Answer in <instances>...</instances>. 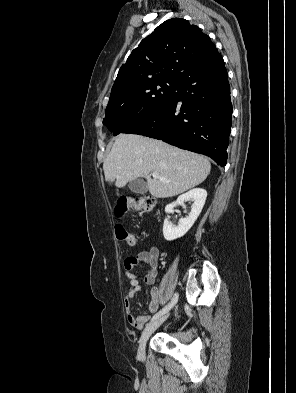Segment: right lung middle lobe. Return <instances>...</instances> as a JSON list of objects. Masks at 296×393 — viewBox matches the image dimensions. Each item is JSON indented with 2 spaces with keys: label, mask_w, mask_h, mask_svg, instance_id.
Here are the masks:
<instances>
[{
  "label": "right lung middle lobe",
  "mask_w": 296,
  "mask_h": 393,
  "mask_svg": "<svg viewBox=\"0 0 296 393\" xmlns=\"http://www.w3.org/2000/svg\"><path fill=\"white\" fill-rule=\"evenodd\" d=\"M176 83L175 81L158 82L131 99L109 102L103 123L113 132V135H118L169 99Z\"/></svg>",
  "instance_id": "dd1d6c3e"
}]
</instances>
